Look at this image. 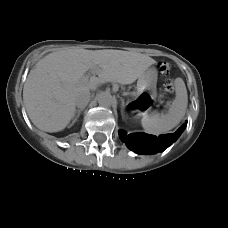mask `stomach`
Instances as JSON below:
<instances>
[{
  "mask_svg": "<svg viewBox=\"0 0 228 228\" xmlns=\"http://www.w3.org/2000/svg\"><path fill=\"white\" fill-rule=\"evenodd\" d=\"M157 70L149 68L137 81L136 94L143 100L144 105L151 104L156 96Z\"/></svg>",
  "mask_w": 228,
  "mask_h": 228,
  "instance_id": "stomach-1",
  "label": "stomach"
}]
</instances>
